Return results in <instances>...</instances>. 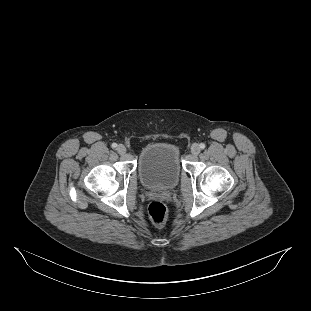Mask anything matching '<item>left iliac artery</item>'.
<instances>
[{
	"label": "left iliac artery",
	"instance_id": "1",
	"mask_svg": "<svg viewBox=\"0 0 311 311\" xmlns=\"http://www.w3.org/2000/svg\"><path fill=\"white\" fill-rule=\"evenodd\" d=\"M199 146H200L201 149H204V148H205V144H204V143H200Z\"/></svg>",
	"mask_w": 311,
	"mask_h": 311
}]
</instances>
